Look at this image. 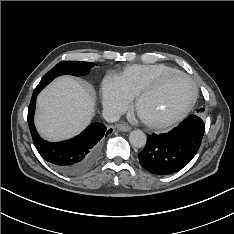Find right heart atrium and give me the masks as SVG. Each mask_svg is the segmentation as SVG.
I'll return each mask as SVG.
<instances>
[{"label":"right heart atrium","mask_w":234,"mask_h":234,"mask_svg":"<svg viewBox=\"0 0 234 234\" xmlns=\"http://www.w3.org/2000/svg\"><path fill=\"white\" fill-rule=\"evenodd\" d=\"M101 94L103 106L113 114L125 112L131 102L113 78L104 79Z\"/></svg>","instance_id":"right-heart-atrium-1"}]
</instances>
